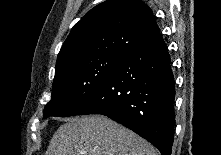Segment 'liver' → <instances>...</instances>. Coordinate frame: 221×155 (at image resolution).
Listing matches in <instances>:
<instances>
[{
    "label": "liver",
    "instance_id": "1",
    "mask_svg": "<svg viewBox=\"0 0 221 155\" xmlns=\"http://www.w3.org/2000/svg\"><path fill=\"white\" fill-rule=\"evenodd\" d=\"M46 155H157V152L124 126L105 116L92 115L61 125Z\"/></svg>",
    "mask_w": 221,
    "mask_h": 155
}]
</instances>
